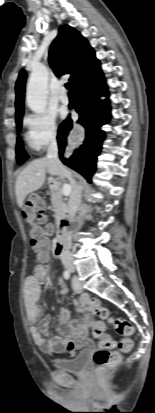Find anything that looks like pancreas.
<instances>
[{
	"instance_id": "pancreas-1",
	"label": "pancreas",
	"mask_w": 155,
	"mask_h": 413,
	"mask_svg": "<svg viewBox=\"0 0 155 413\" xmlns=\"http://www.w3.org/2000/svg\"><path fill=\"white\" fill-rule=\"evenodd\" d=\"M51 203L55 220L58 223L61 219L66 217V213L68 212V206L62 197L61 189L59 187L51 190Z\"/></svg>"
}]
</instances>
